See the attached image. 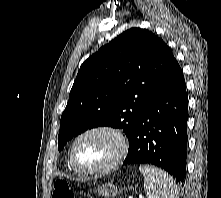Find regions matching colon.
I'll list each match as a JSON object with an SVG mask.
<instances>
[{"instance_id": "obj_1", "label": "colon", "mask_w": 221, "mask_h": 198, "mask_svg": "<svg viewBox=\"0 0 221 198\" xmlns=\"http://www.w3.org/2000/svg\"><path fill=\"white\" fill-rule=\"evenodd\" d=\"M53 198H76L65 180H57L54 184Z\"/></svg>"}]
</instances>
